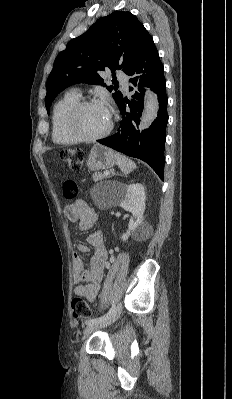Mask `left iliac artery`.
<instances>
[{
	"label": "left iliac artery",
	"instance_id": "1",
	"mask_svg": "<svg viewBox=\"0 0 232 399\" xmlns=\"http://www.w3.org/2000/svg\"><path fill=\"white\" fill-rule=\"evenodd\" d=\"M115 310H116V303H113L112 307L110 308L108 313H106V314H104L103 316H100V317H95V318L88 319V320L85 321V324L89 326V325H92V324L98 322L99 320L108 319L109 317H111L114 314Z\"/></svg>",
	"mask_w": 232,
	"mask_h": 399
}]
</instances>
